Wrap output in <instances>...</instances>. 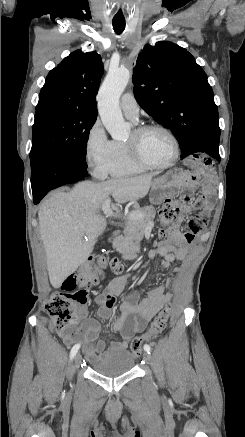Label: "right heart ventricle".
I'll return each instance as SVG.
<instances>
[{
    "label": "right heart ventricle",
    "instance_id": "1",
    "mask_svg": "<svg viewBox=\"0 0 245 437\" xmlns=\"http://www.w3.org/2000/svg\"><path fill=\"white\" fill-rule=\"evenodd\" d=\"M148 168L136 164L128 155L125 143L114 141L113 157L108 167L112 178L134 176L144 173Z\"/></svg>",
    "mask_w": 245,
    "mask_h": 437
}]
</instances>
